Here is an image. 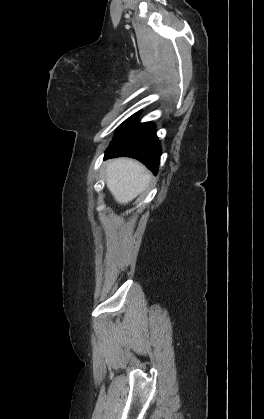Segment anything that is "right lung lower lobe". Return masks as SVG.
Listing matches in <instances>:
<instances>
[{"label": "right lung lower lobe", "instance_id": "right-lung-lower-lobe-1", "mask_svg": "<svg viewBox=\"0 0 264 419\" xmlns=\"http://www.w3.org/2000/svg\"><path fill=\"white\" fill-rule=\"evenodd\" d=\"M161 146L151 123H137L107 148L104 159L127 156L141 161L155 175L160 163Z\"/></svg>", "mask_w": 264, "mask_h": 419}]
</instances>
